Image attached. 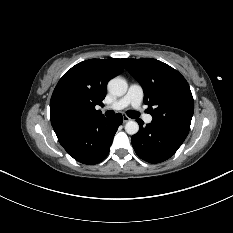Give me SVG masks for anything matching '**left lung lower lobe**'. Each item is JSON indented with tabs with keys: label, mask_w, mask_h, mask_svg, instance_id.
I'll list each match as a JSON object with an SVG mask.
<instances>
[{
	"label": "left lung lower lobe",
	"mask_w": 233,
	"mask_h": 233,
	"mask_svg": "<svg viewBox=\"0 0 233 233\" xmlns=\"http://www.w3.org/2000/svg\"><path fill=\"white\" fill-rule=\"evenodd\" d=\"M140 130L132 137L136 154L149 163H160L169 159L181 146L189 130L153 120L143 126L138 119Z\"/></svg>",
	"instance_id": "obj_1"
}]
</instances>
